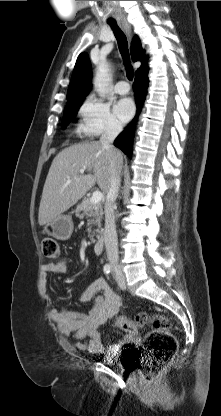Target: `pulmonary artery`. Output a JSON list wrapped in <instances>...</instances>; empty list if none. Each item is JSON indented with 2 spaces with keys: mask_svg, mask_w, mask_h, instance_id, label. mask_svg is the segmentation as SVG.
<instances>
[{
  "mask_svg": "<svg viewBox=\"0 0 221 416\" xmlns=\"http://www.w3.org/2000/svg\"><path fill=\"white\" fill-rule=\"evenodd\" d=\"M130 91V87L125 80H119L115 85V92L120 95H126Z\"/></svg>",
  "mask_w": 221,
  "mask_h": 416,
  "instance_id": "e3ab8cb5",
  "label": "pulmonary artery"
}]
</instances>
